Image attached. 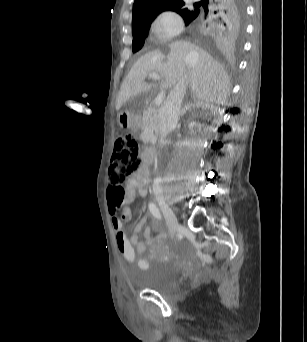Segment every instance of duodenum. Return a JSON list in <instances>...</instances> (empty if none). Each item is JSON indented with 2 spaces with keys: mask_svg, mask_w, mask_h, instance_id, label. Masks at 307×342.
<instances>
[{
  "mask_svg": "<svg viewBox=\"0 0 307 342\" xmlns=\"http://www.w3.org/2000/svg\"><path fill=\"white\" fill-rule=\"evenodd\" d=\"M128 122L129 123H132L133 122V119L132 118H129L128 119ZM153 158V150L152 148H149V147H143L142 148V159H143V162L146 164V165H149L151 160Z\"/></svg>",
  "mask_w": 307,
  "mask_h": 342,
  "instance_id": "1",
  "label": "duodenum"
}]
</instances>
